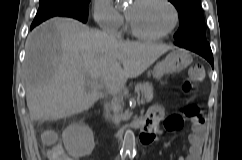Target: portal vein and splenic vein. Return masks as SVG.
Segmentation results:
<instances>
[{"label": "portal vein and splenic vein", "instance_id": "18ae733b", "mask_svg": "<svg viewBox=\"0 0 242 160\" xmlns=\"http://www.w3.org/2000/svg\"><path fill=\"white\" fill-rule=\"evenodd\" d=\"M86 81H87V83H88L90 86H92V87H94V88H102V87H103V84H102L101 81H97V80H95V79H93V78H89V79H87ZM113 93H116V92H113ZM138 103H139V104H144L145 101H144L143 99H141V100L138 101Z\"/></svg>", "mask_w": 242, "mask_h": 160}]
</instances>
